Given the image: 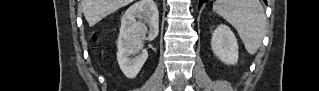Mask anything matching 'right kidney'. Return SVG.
Wrapping results in <instances>:
<instances>
[{"label": "right kidney", "mask_w": 319, "mask_h": 91, "mask_svg": "<svg viewBox=\"0 0 319 91\" xmlns=\"http://www.w3.org/2000/svg\"><path fill=\"white\" fill-rule=\"evenodd\" d=\"M158 30L159 13L153 0H139L127 9L121 19L117 40V61L126 77L135 78L139 73L148 58L143 42L154 40ZM131 55L136 56L131 58Z\"/></svg>", "instance_id": "right-kidney-1"}]
</instances>
